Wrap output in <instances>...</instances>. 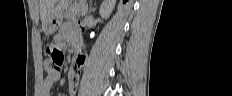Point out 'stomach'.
I'll use <instances>...</instances> for the list:
<instances>
[{
  "label": "stomach",
  "instance_id": "0dacf381",
  "mask_svg": "<svg viewBox=\"0 0 232 96\" xmlns=\"http://www.w3.org/2000/svg\"><path fill=\"white\" fill-rule=\"evenodd\" d=\"M74 2L73 0H61L60 5L52 9L49 16H47L44 25L43 31L47 35L53 34L63 21V9H67L69 5Z\"/></svg>",
  "mask_w": 232,
  "mask_h": 96
}]
</instances>
